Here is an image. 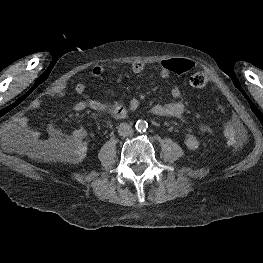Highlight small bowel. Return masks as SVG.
I'll list each match as a JSON object with an SVG mask.
<instances>
[{
  "mask_svg": "<svg viewBox=\"0 0 263 263\" xmlns=\"http://www.w3.org/2000/svg\"><path fill=\"white\" fill-rule=\"evenodd\" d=\"M183 60L188 66L186 72L190 71L193 68L194 63L188 59ZM167 61L168 60L162 61L158 70V75L164 79L168 78L170 73H174L166 66ZM144 69L145 64L142 61H134L131 64V70L133 73H141L144 71ZM103 73L104 69L101 65H95L91 69V74L94 77H101ZM67 86L68 84L66 81H60L52 85L47 90L46 94L50 97H63L66 94ZM74 91L82 98L79 102L73 105L74 111H82L90 108L97 111L107 112L115 117H123L129 111L135 110L138 107V101L136 99L131 100L128 105H122L119 103L91 98L87 94V88L83 83L76 84ZM182 94L183 92L179 87H174L171 90V96L174 100L169 103L157 104L153 106L151 109L152 114L159 117H180L185 111V104L180 101ZM39 103L41 104V101H39ZM232 121L238 123L234 116L232 117ZM18 123L23 140L36 156H40L47 151L64 144L67 141L83 142L87 135L86 130L82 127L75 129L69 135H65L57 126L51 124L48 127L49 136L45 138L41 135L39 130L30 126L26 117L20 118Z\"/></svg>",
  "mask_w": 263,
  "mask_h": 263,
  "instance_id": "small-bowel-1",
  "label": "small bowel"
}]
</instances>
